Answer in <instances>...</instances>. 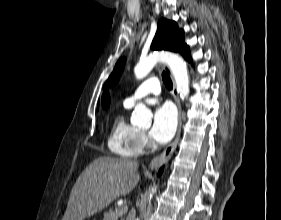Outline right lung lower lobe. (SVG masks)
<instances>
[{
  "instance_id": "right-lung-lower-lobe-1",
  "label": "right lung lower lobe",
  "mask_w": 281,
  "mask_h": 220,
  "mask_svg": "<svg viewBox=\"0 0 281 220\" xmlns=\"http://www.w3.org/2000/svg\"><path fill=\"white\" fill-rule=\"evenodd\" d=\"M162 172H163V167L160 169L158 175L160 176Z\"/></svg>"
}]
</instances>
